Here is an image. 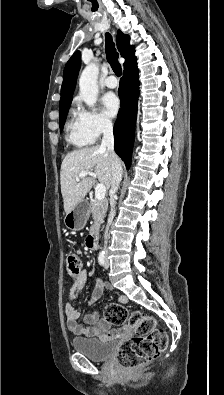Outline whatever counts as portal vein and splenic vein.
<instances>
[{
  "label": "portal vein and splenic vein",
  "instance_id": "obj_1",
  "mask_svg": "<svg viewBox=\"0 0 224 395\" xmlns=\"http://www.w3.org/2000/svg\"><path fill=\"white\" fill-rule=\"evenodd\" d=\"M92 176L93 178H96L97 175L93 172H88V171H83L79 174V176L76 178V181H79L82 177L85 176ZM106 195V187L103 184H97L95 187V198L97 200H103Z\"/></svg>",
  "mask_w": 224,
  "mask_h": 395
}]
</instances>
